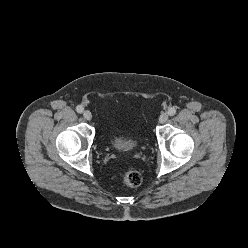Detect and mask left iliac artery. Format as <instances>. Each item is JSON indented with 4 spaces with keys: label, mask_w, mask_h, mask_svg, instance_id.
I'll return each mask as SVG.
<instances>
[{
    "label": "left iliac artery",
    "mask_w": 248,
    "mask_h": 248,
    "mask_svg": "<svg viewBox=\"0 0 248 248\" xmlns=\"http://www.w3.org/2000/svg\"><path fill=\"white\" fill-rule=\"evenodd\" d=\"M176 114V109L174 107L169 108L168 115L174 116Z\"/></svg>",
    "instance_id": "left-iliac-artery-1"
}]
</instances>
